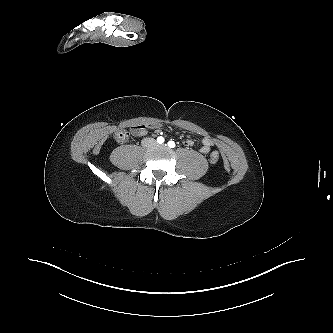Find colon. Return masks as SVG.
<instances>
[{
  "label": "colon",
  "mask_w": 333,
  "mask_h": 333,
  "mask_svg": "<svg viewBox=\"0 0 333 333\" xmlns=\"http://www.w3.org/2000/svg\"><path fill=\"white\" fill-rule=\"evenodd\" d=\"M129 137V133L125 130H120L115 133V140L119 143L125 142ZM209 160L212 163H216L219 160V153L217 151H212L209 155Z\"/></svg>",
  "instance_id": "1"
}]
</instances>
